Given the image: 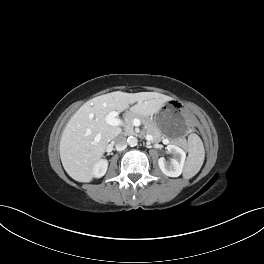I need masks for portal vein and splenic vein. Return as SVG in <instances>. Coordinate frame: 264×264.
Here are the masks:
<instances>
[{
	"label": "portal vein and splenic vein",
	"instance_id": "obj_1",
	"mask_svg": "<svg viewBox=\"0 0 264 264\" xmlns=\"http://www.w3.org/2000/svg\"><path fill=\"white\" fill-rule=\"evenodd\" d=\"M119 115V113L117 111H111L106 115V122L111 125V126H122L124 125V121L117 118V116ZM138 124L140 123L139 120Z\"/></svg>",
	"mask_w": 264,
	"mask_h": 264
}]
</instances>
